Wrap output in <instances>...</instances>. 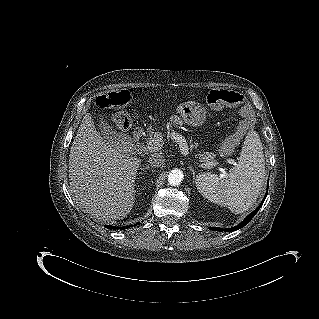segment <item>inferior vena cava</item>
<instances>
[{
    "label": "inferior vena cava",
    "mask_w": 319,
    "mask_h": 319,
    "mask_svg": "<svg viewBox=\"0 0 319 319\" xmlns=\"http://www.w3.org/2000/svg\"><path fill=\"white\" fill-rule=\"evenodd\" d=\"M148 162L153 167H160L165 163V158L160 153H153L150 157Z\"/></svg>",
    "instance_id": "obj_1"
}]
</instances>
